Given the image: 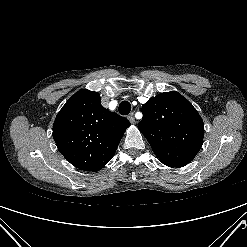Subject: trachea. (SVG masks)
<instances>
[{"instance_id": "obj_1", "label": "trachea", "mask_w": 247, "mask_h": 247, "mask_svg": "<svg viewBox=\"0 0 247 247\" xmlns=\"http://www.w3.org/2000/svg\"><path fill=\"white\" fill-rule=\"evenodd\" d=\"M118 110L121 115H128L131 111V104L128 101H122Z\"/></svg>"}]
</instances>
